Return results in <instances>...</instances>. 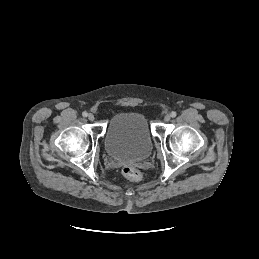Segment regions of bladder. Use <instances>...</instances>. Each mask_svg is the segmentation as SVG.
Masks as SVG:
<instances>
[{"label": "bladder", "instance_id": "bladder-1", "mask_svg": "<svg viewBox=\"0 0 259 259\" xmlns=\"http://www.w3.org/2000/svg\"><path fill=\"white\" fill-rule=\"evenodd\" d=\"M105 150L115 159L142 160L152 149V133L147 117L140 112H120L109 121Z\"/></svg>", "mask_w": 259, "mask_h": 259}]
</instances>
